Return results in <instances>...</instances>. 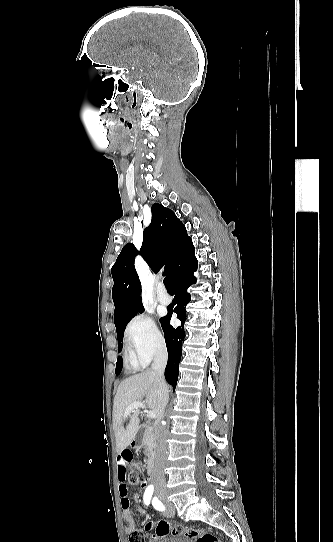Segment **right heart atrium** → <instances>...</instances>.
<instances>
[{"label": "right heart atrium", "instance_id": "obj_1", "mask_svg": "<svg viewBox=\"0 0 333 542\" xmlns=\"http://www.w3.org/2000/svg\"><path fill=\"white\" fill-rule=\"evenodd\" d=\"M124 338L127 346L137 347L149 359L165 348V337L156 319L144 313L132 319Z\"/></svg>", "mask_w": 333, "mask_h": 542}]
</instances>
